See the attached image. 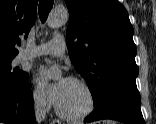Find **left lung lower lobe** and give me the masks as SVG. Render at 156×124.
Wrapping results in <instances>:
<instances>
[{
    "mask_svg": "<svg viewBox=\"0 0 156 124\" xmlns=\"http://www.w3.org/2000/svg\"><path fill=\"white\" fill-rule=\"evenodd\" d=\"M101 119H113L126 124H145L140 109V103L128 98L114 97L94 106L93 112L84 122Z\"/></svg>",
    "mask_w": 156,
    "mask_h": 124,
    "instance_id": "left-lung-lower-lobe-1",
    "label": "left lung lower lobe"
}]
</instances>
